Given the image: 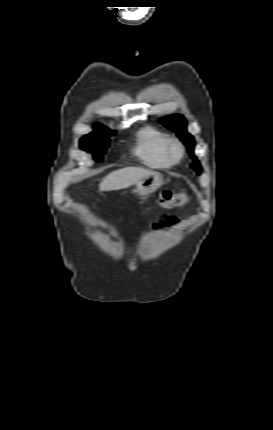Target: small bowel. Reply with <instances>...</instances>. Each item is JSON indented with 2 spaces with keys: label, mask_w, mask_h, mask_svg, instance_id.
<instances>
[{
  "label": "small bowel",
  "mask_w": 273,
  "mask_h": 430,
  "mask_svg": "<svg viewBox=\"0 0 273 430\" xmlns=\"http://www.w3.org/2000/svg\"><path fill=\"white\" fill-rule=\"evenodd\" d=\"M176 223L173 218H167L161 223L154 224L153 229L158 232H167Z\"/></svg>",
  "instance_id": "small-bowel-1"
}]
</instances>
